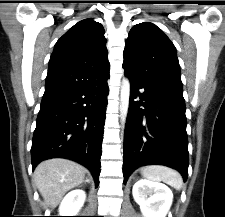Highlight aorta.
<instances>
[{
	"instance_id": "aorta-1",
	"label": "aorta",
	"mask_w": 225,
	"mask_h": 217,
	"mask_svg": "<svg viewBox=\"0 0 225 217\" xmlns=\"http://www.w3.org/2000/svg\"><path fill=\"white\" fill-rule=\"evenodd\" d=\"M129 98H130V82L127 78H123L120 95V118L122 123H125L127 118L129 108Z\"/></svg>"
}]
</instances>
